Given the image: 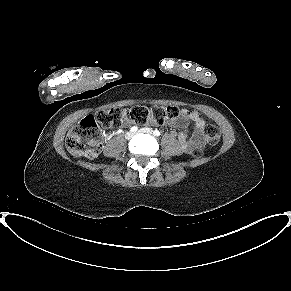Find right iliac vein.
Instances as JSON below:
<instances>
[{"label": "right iliac vein", "instance_id": "right-iliac-vein-1", "mask_svg": "<svg viewBox=\"0 0 291 291\" xmlns=\"http://www.w3.org/2000/svg\"><path fill=\"white\" fill-rule=\"evenodd\" d=\"M133 136H134V133L133 132H127L126 134H125V138L127 139V140H130L131 138H133Z\"/></svg>", "mask_w": 291, "mask_h": 291}]
</instances>
